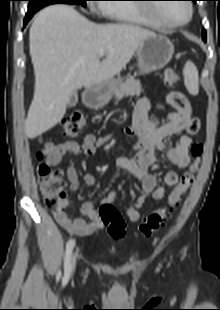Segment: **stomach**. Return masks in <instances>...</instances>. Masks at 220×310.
I'll return each instance as SVG.
<instances>
[{"label":"stomach","instance_id":"1","mask_svg":"<svg viewBox=\"0 0 220 310\" xmlns=\"http://www.w3.org/2000/svg\"><path fill=\"white\" fill-rule=\"evenodd\" d=\"M174 54V46L163 35L145 38L137 49V62L140 73L146 74L165 67ZM120 79H111L85 92L84 102L91 107H101L108 103L117 89Z\"/></svg>","mask_w":220,"mask_h":310}]
</instances>
